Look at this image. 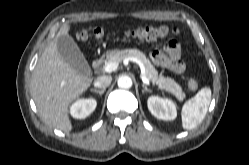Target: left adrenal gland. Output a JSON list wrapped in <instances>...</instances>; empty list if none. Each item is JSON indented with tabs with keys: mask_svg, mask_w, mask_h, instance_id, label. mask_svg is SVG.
<instances>
[{
	"mask_svg": "<svg viewBox=\"0 0 249 165\" xmlns=\"http://www.w3.org/2000/svg\"><path fill=\"white\" fill-rule=\"evenodd\" d=\"M142 86H143L142 93H144V92H151V90L144 83L142 84Z\"/></svg>",
	"mask_w": 249,
	"mask_h": 165,
	"instance_id": "1",
	"label": "left adrenal gland"
}]
</instances>
